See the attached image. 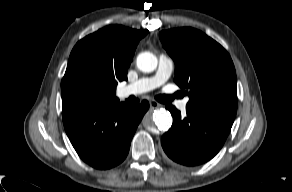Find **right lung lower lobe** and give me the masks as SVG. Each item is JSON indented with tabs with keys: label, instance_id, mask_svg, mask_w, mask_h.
I'll list each match as a JSON object with an SVG mask.
<instances>
[{
	"label": "right lung lower lobe",
	"instance_id": "obj_1",
	"mask_svg": "<svg viewBox=\"0 0 292 192\" xmlns=\"http://www.w3.org/2000/svg\"><path fill=\"white\" fill-rule=\"evenodd\" d=\"M149 103L118 102L107 107H63L65 131L80 158L97 169H109L127 156L132 137Z\"/></svg>",
	"mask_w": 292,
	"mask_h": 192
}]
</instances>
